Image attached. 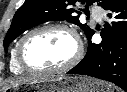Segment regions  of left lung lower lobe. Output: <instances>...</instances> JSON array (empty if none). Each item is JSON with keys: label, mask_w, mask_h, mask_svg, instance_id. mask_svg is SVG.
<instances>
[{"label": "left lung lower lobe", "mask_w": 127, "mask_h": 92, "mask_svg": "<svg viewBox=\"0 0 127 92\" xmlns=\"http://www.w3.org/2000/svg\"><path fill=\"white\" fill-rule=\"evenodd\" d=\"M109 18L116 19L101 32L102 42H91L94 31L87 36L88 50L84 59L68 71L107 80L127 92V0H115L104 8Z\"/></svg>", "instance_id": "obj_1"}]
</instances>
